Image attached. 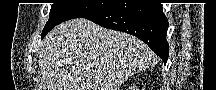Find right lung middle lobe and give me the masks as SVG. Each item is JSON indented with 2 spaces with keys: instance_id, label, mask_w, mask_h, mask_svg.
Here are the masks:
<instances>
[{
  "instance_id": "1",
  "label": "right lung middle lobe",
  "mask_w": 216,
  "mask_h": 90,
  "mask_svg": "<svg viewBox=\"0 0 216 90\" xmlns=\"http://www.w3.org/2000/svg\"><path fill=\"white\" fill-rule=\"evenodd\" d=\"M113 4H53L41 39L56 25L73 18H84L101 12Z\"/></svg>"
}]
</instances>
